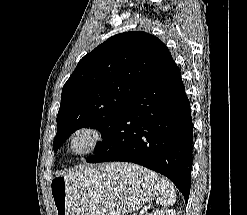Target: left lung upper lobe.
Listing matches in <instances>:
<instances>
[{
    "label": "left lung upper lobe",
    "mask_w": 247,
    "mask_h": 215,
    "mask_svg": "<svg viewBox=\"0 0 247 215\" xmlns=\"http://www.w3.org/2000/svg\"><path fill=\"white\" fill-rule=\"evenodd\" d=\"M145 32L115 35L84 56L62 89L54 151L79 128H96L107 142L140 87L168 53Z\"/></svg>",
    "instance_id": "obj_1"
}]
</instances>
